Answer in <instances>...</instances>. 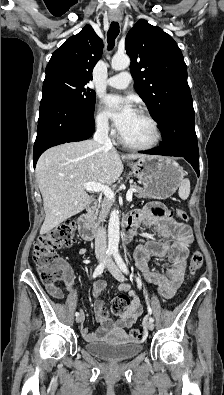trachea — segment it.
Instances as JSON below:
<instances>
[{"instance_id":"trachea-1","label":"trachea","mask_w":224,"mask_h":395,"mask_svg":"<svg viewBox=\"0 0 224 395\" xmlns=\"http://www.w3.org/2000/svg\"><path fill=\"white\" fill-rule=\"evenodd\" d=\"M119 34V24L117 22H112L110 28L107 32V41L109 49L113 48L115 45V39Z\"/></svg>"}]
</instances>
